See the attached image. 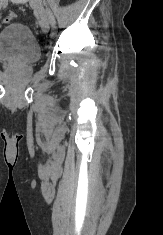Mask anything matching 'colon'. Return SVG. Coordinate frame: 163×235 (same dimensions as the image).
Instances as JSON below:
<instances>
[{
    "instance_id": "colon-1",
    "label": "colon",
    "mask_w": 163,
    "mask_h": 235,
    "mask_svg": "<svg viewBox=\"0 0 163 235\" xmlns=\"http://www.w3.org/2000/svg\"><path fill=\"white\" fill-rule=\"evenodd\" d=\"M16 18V14L14 12H9L3 19L5 23H8Z\"/></svg>"
}]
</instances>
